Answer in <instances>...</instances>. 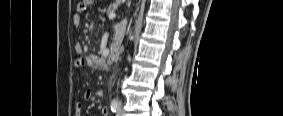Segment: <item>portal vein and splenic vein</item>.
Returning a JSON list of instances; mask_svg holds the SVG:
<instances>
[{"label":"portal vein and splenic vein","instance_id":"1","mask_svg":"<svg viewBox=\"0 0 283 116\" xmlns=\"http://www.w3.org/2000/svg\"><path fill=\"white\" fill-rule=\"evenodd\" d=\"M116 17V14L115 13H110L109 15H108V18L109 19H114Z\"/></svg>","mask_w":283,"mask_h":116}]
</instances>
